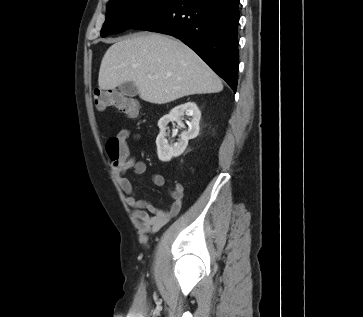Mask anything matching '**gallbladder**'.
<instances>
[{
	"instance_id": "obj_1",
	"label": "gallbladder",
	"mask_w": 363,
	"mask_h": 317,
	"mask_svg": "<svg viewBox=\"0 0 363 317\" xmlns=\"http://www.w3.org/2000/svg\"><path fill=\"white\" fill-rule=\"evenodd\" d=\"M119 90L123 95L128 97H134L138 94V89L132 81L121 84Z\"/></svg>"
}]
</instances>
